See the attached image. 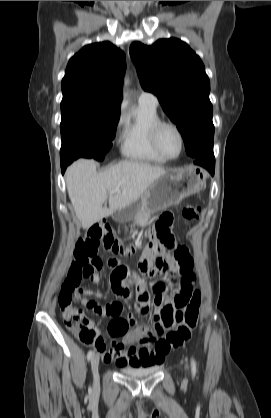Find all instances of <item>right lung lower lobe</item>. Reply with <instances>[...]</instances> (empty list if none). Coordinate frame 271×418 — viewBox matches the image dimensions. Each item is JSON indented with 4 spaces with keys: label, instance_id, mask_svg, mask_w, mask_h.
Wrapping results in <instances>:
<instances>
[{
    "label": "right lung lower lobe",
    "instance_id": "98d812e1",
    "mask_svg": "<svg viewBox=\"0 0 271 418\" xmlns=\"http://www.w3.org/2000/svg\"><path fill=\"white\" fill-rule=\"evenodd\" d=\"M73 160L71 159H62L61 158V169H62V173H64L65 169L67 168V166L72 163Z\"/></svg>",
    "mask_w": 271,
    "mask_h": 418
}]
</instances>
